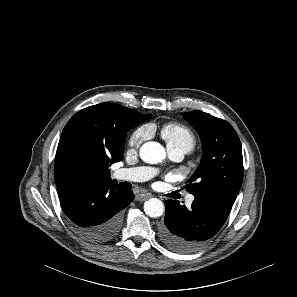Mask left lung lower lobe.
Masks as SVG:
<instances>
[{
  "label": "left lung lower lobe",
  "instance_id": "0a47b994",
  "mask_svg": "<svg viewBox=\"0 0 297 297\" xmlns=\"http://www.w3.org/2000/svg\"><path fill=\"white\" fill-rule=\"evenodd\" d=\"M236 196L208 195L195 197L190 208L177 200H166L161 241L177 252H192L218 233L225 223Z\"/></svg>",
  "mask_w": 297,
  "mask_h": 297
}]
</instances>
